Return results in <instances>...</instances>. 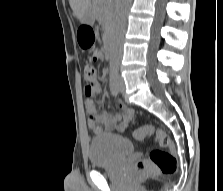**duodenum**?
<instances>
[{
    "mask_svg": "<svg viewBox=\"0 0 223 191\" xmlns=\"http://www.w3.org/2000/svg\"><path fill=\"white\" fill-rule=\"evenodd\" d=\"M104 52L107 55L111 52V38L109 34H107L104 39Z\"/></svg>",
    "mask_w": 223,
    "mask_h": 191,
    "instance_id": "obj_1",
    "label": "duodenum"
}]
</instances>
